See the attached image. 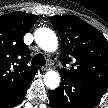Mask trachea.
I'll use <instances>...</instances> for the list:
<instances>
[{
    "label": "trachea",
    "mask_w": 108,
    "mask_h": 108,
    "mask_svg": "<svg viewBox=\"0 0 108 108\" xmlns=\"http://www.w3.org/2000/svg\"><path fill=\"white\" fill-rule=\"evenodd\" d=\"M32 64L34 65H40V66H44L46 61L44 56L41 53L36 54L33 59H32Z\"/></svg>",
    "instance_id": "obj_1"
}]
</instances>
